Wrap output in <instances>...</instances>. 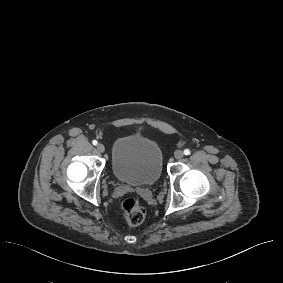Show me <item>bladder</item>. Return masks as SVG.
<instances>
[{"mask_svg": "<svg viewBox=\"0 0 283 283\" xmlns=\"http://www.w3.org/2000/svg\"><path fill=\"white\" fill-rule=\"evenodd\" d=\"M112 169L115 178L130 185H150L162 172V152L157 142L144 135L130 134L114 144Z\"/></svg>", "mask_w": 283, "mask_h": 283, "instance_id": "31cf9c89", "label": "bladder"}]
</instances>
